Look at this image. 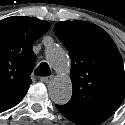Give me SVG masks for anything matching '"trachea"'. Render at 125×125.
<instances>
[{"instance_id": "1", "label": "trachea", "mask_w": 125, "mask_h": 125, "mask_svg": "<svg viewBox=\"0 0 125 125\" xmlns=\"http://www.w3.org/2000/svg\"><path fill=\"white\" fill-rule=\"evenodd\" d=\"M51 74V69L46 62H42L35 70V75L37 76H49Z\"/></svg>"}]
</instances>
